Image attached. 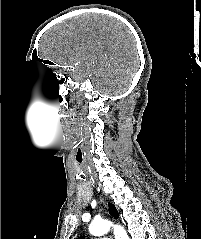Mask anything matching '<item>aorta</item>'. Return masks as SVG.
<instances>
[{
	"label": "aorta",
	"instance_id": "762f6f07",
	"mask_svg": "<svg viewBox=\"0 0 201 239\" xmlns=\"http://www.w3.org/2000/svg\"><path fill=\"white\" fill-rule=\"evenodd\" d=\"M111 227L113 228L115 239H129L123 227L114 225L108 220L93 221L89 225V232L94 236H102L107 234Z\"/></svg>",
	"mask_w": 201,
	"mask_h": 239
}]
</instances>
